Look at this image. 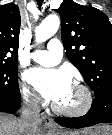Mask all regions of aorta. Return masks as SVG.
Here are the masks:
<instances>
[{
  "label": "aorta",
  "instance_id": "762f6f07",
  "mask_svg": "<svg viewBox=\"0 0 112 135\" xmlns=\"http://www.w3.org/2000/svg\"><path fill=\"white\" fill-rule=\"evenodd\" d=\"M60 19L57 15H49L35 30V38L37 42H44L51 38L58 30Z\"/></svg>",
  "mask_w": 112,
  "mask_h": 135
}]
</instances>
